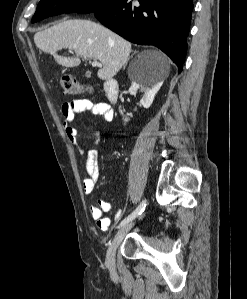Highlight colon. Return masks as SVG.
Masks as SVG:
<instances>
[{"label":"colon","mask_w":247,"mask_h":299,"mask_svg":"<svg viewBox=\"0 0 247 299\" xmlns=\"http://www.w3.org/2000/svg\"><path fill=\"white\" fill-rule=\"evenodd\" d=\"M61 86L66 94L78 95L90 89H85L71 75L65 74L61 77Z\"/></svg>","instance_id":"1"}]
</instances>
